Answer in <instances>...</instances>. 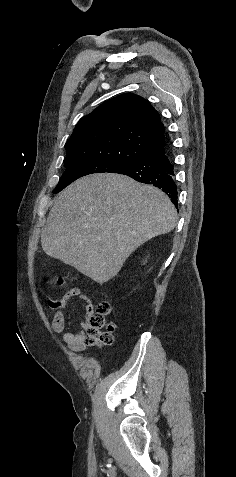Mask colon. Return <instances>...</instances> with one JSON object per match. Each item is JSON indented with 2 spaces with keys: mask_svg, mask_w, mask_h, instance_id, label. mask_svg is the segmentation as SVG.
Segmentation results:
<instances>
[{
  "mask_svg": "<svg viewBox=\"0 0 236 477\" xmlns=\"http://www.w3.org/2000/svg\"><path fill=\"white\" fill-rule=\"evenodd\" d=\"M63 282V279L59 280ZM112 311L111 305L104 301L97 305L93 315L88 320L89 328L85 342L92 346H109L114 342L115 325L106 321V316Z\"/></svg>",
  "mask_w": 236,
  "mask_h": 477,
  "instance_id": "colon-1",
  "label": "colon"
}]
</instances>
